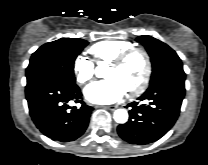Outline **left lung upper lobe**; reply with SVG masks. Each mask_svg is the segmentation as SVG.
Wrapping results in <instances>:
<instances>
[{"label":"left lung upper lobe","instance_id":"5c2ea615","mask_svg":"<svg viewBox=\"0 0 208 165\" xmlns=\"http://www.w3.org/2000/svg\"><path fill=\"white\" fill-rule=\"evenodd\" d=\"M136 40L145 46L151 58L150 84L171 74H185L181 59L168 45L151 36H139Z\"/></svg>","mask_w":208,"mask_h":165}]
</instances>
